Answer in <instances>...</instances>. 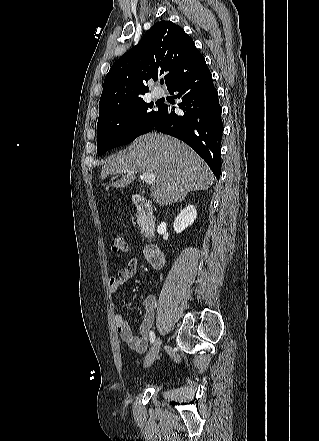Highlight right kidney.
Returning a JSON list of instances; mask_svg holds the SVG:
<instances>
[{
  "mask_svg": "<svg viewBox=\"0 0 319 441\" xmlns=\"http://www.w3.org/2000/svg\"><path fill=\"white\" fill-rule=\"evenodd\" d=\"M197 217L196 209L193 205L186 206L176 217L173 227L176 233H181L188 226L192 225Z\"/></svg>",
  "mask_w": 319,
  "mask_h": 441,
  "instance_id": "1",
  "label": "right kidney"
}]
</instances>
